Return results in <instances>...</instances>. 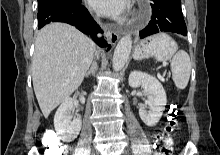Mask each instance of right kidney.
I'll list each match as a JSON object with an SVG mask.
<instances>
[{"label":"right kidney","mask_w":220,"mask_h":155,"mask_svg":"<svg viewBox=\"0 0 220 155\" xmlns=\"http://www.w3.org/2000/svg\"><path fill=\"white\" fill-rule=\"evenodd\" d=\"M80 102L85 103L84 96ZM73 99L67 98L60 105L54 116V127L59 138L65 142L73 141L79 134L82 126L81 118L71 121L70 111L73 109Z\"/></svg>","instance_id":"ca27d5eb"}]
</instances>
